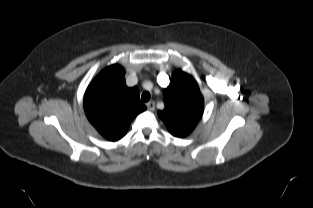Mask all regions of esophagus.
Here are the masks:
<instances>
[{
  "label": "esophagus",
  "mask_w": 313,
  "mask_h": 208,
  "mask_svg": "<svg viewBox=\"0 0 313 208\" xmlns=\"http://www.w3.org/2000/svg\"><path fill=\"white\" fill-rule=\"evenodd\" d=\"M147 109L150 111H153L155 109V102L154 101H150L146 104Z\"/></svg>",
  "instance_id": "obj_1"
}]
</instances>
